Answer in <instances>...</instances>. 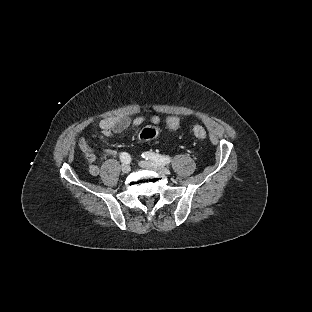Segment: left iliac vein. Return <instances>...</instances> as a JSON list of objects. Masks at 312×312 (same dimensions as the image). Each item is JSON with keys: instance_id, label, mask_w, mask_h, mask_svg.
<instances>
[{"instance_id": "4c4485c4", "label": "left iliac vein", "mask_w": 312, "mask_h": 312, "mask_svg": "<svg viewBox=\"0 0 312 312\" xmlns=\"http://www.w3.org/2000/svg\"><path fill=\"white\" fill-rule=\"evenodd\" d=\"M140 166L146 169H151L154 170L156 172H160L163 174H170V170L166 167H164L163 165H160L158 163L152 162V161H142L140 163Z\"/></svg>"}]
</instances>
